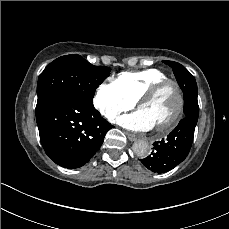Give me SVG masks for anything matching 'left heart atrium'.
Instances as JSON below:
<instances>
[{"label": "left heart atrium", "instance_id": "39dd6f15", "mask_svg": "<svg viewBox=\"0 0 229 229\" xmlns=\"http://www.w3.org/2000/svg\"><path fill=\"white\" fill-rule=\"evenodd\" d=\"M116 122L125 128L135 131H148L153 128L152 123L141 111L132 115L120 116L116 119Z\"/></svg>", "mask_w": 229, "mask_h": 229}]
</instances>
